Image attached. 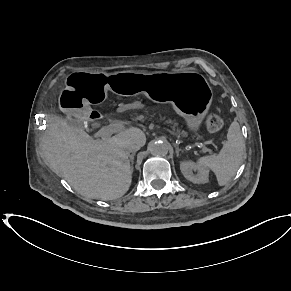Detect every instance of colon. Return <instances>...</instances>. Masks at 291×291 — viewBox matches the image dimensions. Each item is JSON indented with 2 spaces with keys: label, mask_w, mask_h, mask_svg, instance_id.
<instances>
[{
  "label": "colon",
  "mask_w": 291,
  "mask_h": 291,
  "mask_svg": "<svg viewBox=\"0 0 291 291\" xmlns=\"http://www.w3.org/2000/svg\"><path fill=\"white\" fill-rule=\"evenodd\" d=\"M206 126L211 132H218L223 127V119L219 114L212 113L206 119Z\"/></svg>",
  "instance_id": "colon-1"
}]
</instances>
